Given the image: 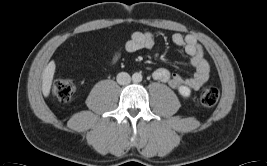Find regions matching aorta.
I'll use <instances>...</instances> for the list:
<instances>
[{"mask_svg":"<svg viewBox=\"0 0 267 166\" xmlns=\"http://www.w3.org/2000/svg\"><path fill=\"white\" fill-rule=\"evenodd\" d=\"M132 80H133V82H135V83H138V82H141L142 81V75H141V73H134L133 75H132Z\"/></svg>","mask_w":267,"mask_h":166,"instance_id":"aorta-1","label":"aorta"}]
</instances>
